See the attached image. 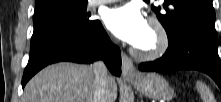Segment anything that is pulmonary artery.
<instances>
[{
    "label": "pulmonary artery",
    "mask_w": 221,
    "mask_h": 102,
    "mask_svg": "<svg viewBox=\"0 0 221 102\" xmlns=\"http://www.w3.org/2000/svg\"><path fill=\"white\" fill-rule=\"evenodd\" d=\"M120 0H93L92 5L97 6V5H102L106 3H112V2H117Z\"/></svg>",
    "instance_id": "pulmonary-artery-1"
}]
</instances>
